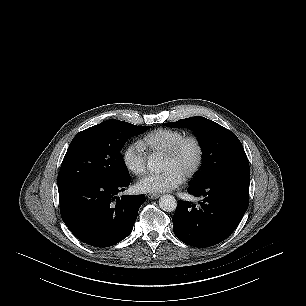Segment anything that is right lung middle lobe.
<instances>
[{
    "label": "right lung middle lobe",
    "mask_w": 306,
    "mask_h": 306,
    "mask_svg": "<svg viewBox=\"0 0 306 306\" xmlns=\"http://www.w3.org/2000/svg\"><path fill=\"white\" fill-rule=\"evenodd\" d=\"M151 126L107 120L79 132L71 141L58 174V190L92 178L120 181L129 177L120 153L126 141Z\"/></svg>",
    "instance_id": "obj_1"
}]
</instances>
